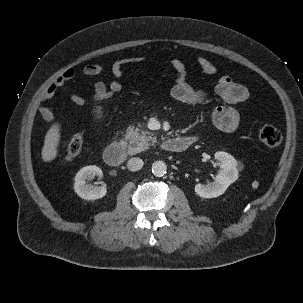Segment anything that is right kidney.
<instances>
[{
  "mask_svg": "<svg viewBox=\"0 0 303 303\" xmlns=\"http://www.w3.org/2000/svg\"><path fill=\"white\" fill-rule=\"evenodd\" d=\"M102 177V170L94 165L83 167L75 176L74 190L79 197L85 200H96L104 197L107 193L106 185L101 182V186L86 184V179L94 176Z\"/></svg>",
  "mask_w": 303,
  "mask_h": 303,
  "instance_id": "obj_1",
  "label": "right kidney"
}]
</instances>
